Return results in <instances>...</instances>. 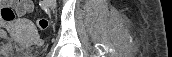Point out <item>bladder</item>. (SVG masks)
<instances>
[{"instance_id": "1", "label": "bladder", "mask_w": 172, "mask_h": 57, "mask_svg": "<svg viewBox=\"0 0 172 57\" xmlns=\"http://www.w3.org/2000/svg\"><path fill=\"white\" fill-rule=\"evenodd\" d=\"M0 57H25V56L21 55L20 53L17 54L2 53L0 54Z\"/></svg>"}]
</instances>
